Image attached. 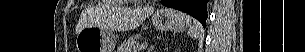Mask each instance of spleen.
<instances>
[{"label": "spleen", "mask_w": 305, "mask_h": 52, "mask_svg": "<svg viewBox=\"0 0 305 52\" xmlns=\"http://www.w3.org/2000/svg\"><path fill=\"white\" fill-rule=\"evenodd\" d=\"M202 31L203 29L201 25L197 21H194L193 26L188 31V34L191 37L198 38L201 35Z\"/></svg>", "instance_id": "3e777b00"}]
</instances>
